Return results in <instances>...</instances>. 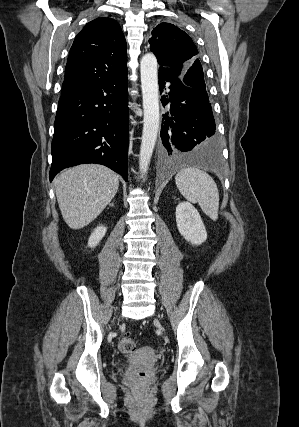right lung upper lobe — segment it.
<instances>
[{
  "instance_id": "obj_1",
  "label": "right lung upper lobe",
  "mask_w": 299,
  "mask_h": 427,
  "mask_svg": "<svg viewBox=\"0 0 299 427\" xmlns=\"http://www.w3.org/2000/svg\"><path fill=\"white\" fill-rule=\"evenodd\" d=\"M127 70L126 42L117 21L97 18L75 37L62 95L113 79Z\"/></svg>"
}]
</instances>
